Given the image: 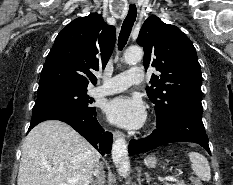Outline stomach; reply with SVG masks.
<instances>
[{"label":"stomach","instance_id":"obj_1","mask_svg":"<svg viewBox=\"0 0 233 185\" xmlns=\"http://www.w3.org/2000/svg\"><path fill=\"white\" fill-rule=\"evenodd\" d=\"M145 165L149 168H154L157 163V158L155 156H148L144 160Z\"/></svg>","mask_w":233,"mask_h":185}]
</instances>
